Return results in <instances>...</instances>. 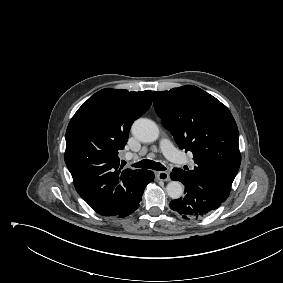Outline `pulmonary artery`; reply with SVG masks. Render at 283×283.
I'll return each instance as SVG.
<instances>
[{"label": "pulmonary artery", "instance_id": "1", "mask_svg": "<svg viewBox=\"0 0 283 283\" xmlns=\"http://www.w3.org/2000/svg\"><path fill=\"white\" fill-rule=\"evenodd\" d=\"M160 149L167 159L175 163H187V159L173 146L167 139L163 138L160 141ZM130 157V156H128Z\"/></svg>", "mask_w": 283, "mask_h": 283}]
</instances>
